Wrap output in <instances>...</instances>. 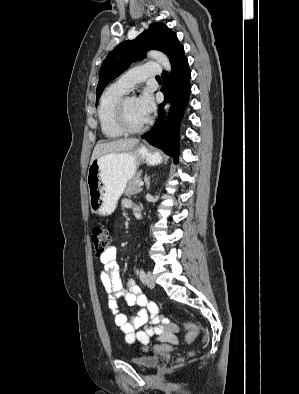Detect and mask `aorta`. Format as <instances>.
<instances>
[{
	"label": "aorta",
	"instance_id": "1",
	"mask_svg": "<svg viewBox=\"0 0 299 394\" xmlns=\"http://www.w3.org/2000/svg\"><path fill=\"white\" fill-rule=\"evenodd\" d=\"M148 56L152 59H155L166 71L168 72L171 71V64L169 58L164 53L160 51H150L148 53ZM169 108H170V104L167 103L165 106L166 113H168Z\"/></svg>",
	"mask_w": 299,
	"mask_h": 394
}]
</instances>
